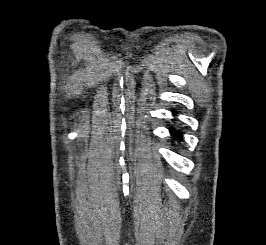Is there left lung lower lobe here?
<instances>
[{
    "instance_id": "1",
    "label": "left lung lower lobe",
    "mask_w": 266,
    "mask_h": 245,
    "mask_svg": "<svg viewBox=\"0 0 266 245\" xmlns=\"http://www.w3.org/2000/svg\"><path fill=\"white\" fill-rule=\"evenodd\" d=\"M171 134L174 136L175 140L181 141L182 140V135L181 133L175 131V129L170 130Z\"/></svg>"
}]
</instances>
